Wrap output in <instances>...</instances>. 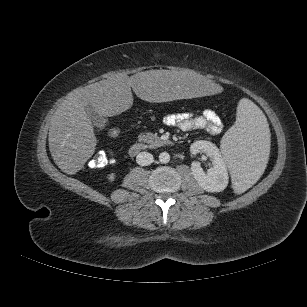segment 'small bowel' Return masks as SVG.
I'll return each instance as SVG.
<instances>
[{
	"label": "small bowel",
	"mask_w": 307,
	"mask_h": 307,
	"mask_svg": "<svg viewBox=\"0 0 307 307\" xmlns=\"http://www.w3.org/2000/svg\"><path fill=\"white\" fill-rule=\"evenodd\" d=\"M163 123L181 131L204 129L212 135L221 133L223 129L221 118L211 109H206L200 114L189 112L168 114L163 118Z\"/></svg>",
	"instance_id": "obj_1"
}]
</instances>
